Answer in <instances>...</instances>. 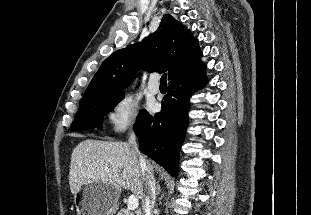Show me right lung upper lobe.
I'll return each instance as SVG.
<instances>
[{"mask_svg":"<svg viewBox=\"0 0 311 215\" xmlns=\"http://www.w3.org/2000/svg\"><path fill=\"white\" fill-rule=\"evenodd\" d=\"M201 63L198 40L171 15L163 16L159 28L135 43L111 54L100 66L80 103L107 96L124 94L137 75V70L168 71V80Z\"/></svg>","mask_w":311,"mask_h":215,"instance_id":"1","label":"right lung upper lobe"}]
</instances>
